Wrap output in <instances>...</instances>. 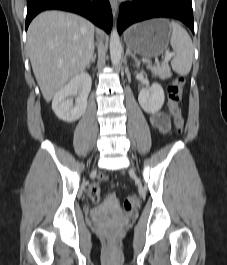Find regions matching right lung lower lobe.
<instances>
[{"instance_id":"obj_1","label":"right lung lower lobe","mask_w":227,"mask_h":265,"mask_svg":"<svg viewBox=\"0 0 227 265\" xmlns=\"http://www.w3.org/2000/svg\"><path fill=\"white\" fill-rule=\"evenodd\" d=\"M49 9L80 14L107 33L112 27V12L108 0H27L26 29L38 13Z\"/></svg>"}]
</instances>
